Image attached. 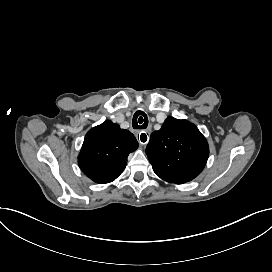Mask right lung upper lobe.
<instances>
[{"label":"right lung upper lobe","instance_id":"cb5924a9","mask_svg":"<svg viewBox=\"0 0 272 272\" xmlns=\"http://www.w3.org/2000/svg\"><path fill=\"white\" fill-rule=\"evenodd\" d=\"M137 148L138 142L130 131L105 121L86 134L78 164L94 182L109 183L123 172L129 153Z\"/></svg>","mask_w":272,"mask_h":272}]
</instances>
